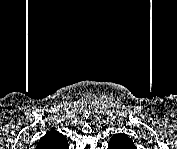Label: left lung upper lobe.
Instances as JSON below:
<instances>
[{
    "mask_svg": "<svg viewBox=\"0 0 177 149\" xmlns=\"http://www.w3.org/2000/svg\"><path fill=\"white\" fill-rule=\"evenodd\" d=\"M122 135H125V134H122ZM127 142H128V143H125V144H126V145H129L130 143H132V140L129 139Z\"/></svg>",
    "mask_w": 177,
    "mask_h": 149,
    "instance_id": "1",
    "label": "left lung upper lobe"
}]
</instances>
